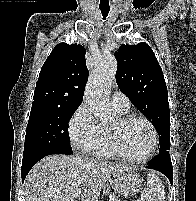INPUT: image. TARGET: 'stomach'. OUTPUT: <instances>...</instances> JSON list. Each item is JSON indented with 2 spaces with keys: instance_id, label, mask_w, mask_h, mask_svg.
Instances as JSON below:
<instances>
[{
  "instance_id": "1",
  "label": "stomach",
  "mask_w": 196,
  "mask_h": 201,
  "mask_svg": "<svg viewBox=\"0 0 196 201\" xmlns=\"http://www.w3.org/2000/svg\"><path fill=\"white\" fill-rule=\"evenodd\" d=\"M143 179L135 172H122L115 176V188L119 195L127 197L141 190Z\"/></svg>"
}]
</instances>
